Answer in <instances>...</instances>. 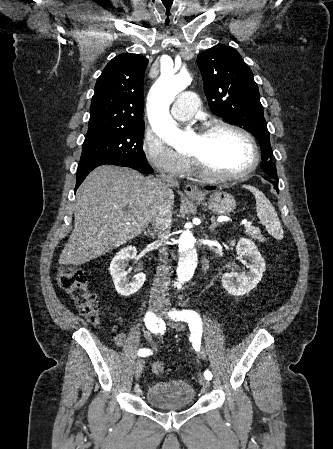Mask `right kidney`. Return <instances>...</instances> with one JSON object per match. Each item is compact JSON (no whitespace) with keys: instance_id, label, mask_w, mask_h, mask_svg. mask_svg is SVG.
<instances>
[{"instance_id":"right-kidney-1","label":"right kidney","mask_w":333,"mask_h":449,"mask_svg":"<svg viewBox=\"0 0 333 449\" xmlns=\"http://www.w3.org/2000/svg\"><path fill=\"white\" fill-rule=\"evenodd\" d=\"M137 250L133 246L121 249L110 263V274L112 276L116 291L122 296H131L144 284L146 275L138 273L134 278L127 277L128 261L136 256Z\"/></svg>"}]
</instances>
